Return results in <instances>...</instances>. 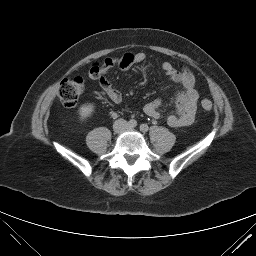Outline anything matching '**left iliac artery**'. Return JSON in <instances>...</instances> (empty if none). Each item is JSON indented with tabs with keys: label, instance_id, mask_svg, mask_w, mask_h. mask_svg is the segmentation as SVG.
Returning a JSON list of instances; mask_svg holds the SVG:
<instances>
[{
	"label": "left iliac artery",
	"instance_id": "44dca946",
	"mask_svg": "<svg viewBox=\"0 0 256 256\" xmlns=\"http://www.w3.org/2000/svg\"><path fill=\"white\" fill-rule=\"evenodd\" d=\"M148 129H149V127H148L147 124H141V125H140V131H142V132H144V133L147 132Z\"/></svg>",
	"mask_w": 256,
	"mask_h": 256
}]
</instances>
